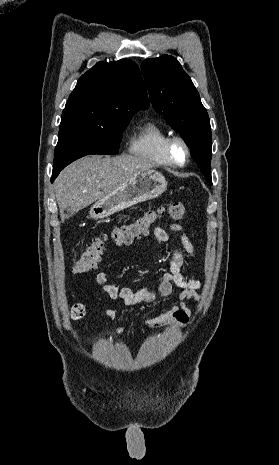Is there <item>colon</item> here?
Segmentation results:
<instances>
[{
    "instance_id": "1",
    "label": "colon",
    "mask_w": 279,
    "mask_h": 465,
    "mask_svg": "<svg viewBox=\"0 0 279 465\" xmlns=\"http://www.w3.org/2000/svg\"><path fill=\"white\" fill-rule=\"evenodd\" d=\"M186 209L183 203L174 202L157 210H149L133 222L121 225L113 230L110 239L117 245H127L136 239L146 235L149 228L163 215H168L174 220H182ZM106 236L97 238L79 256L73 260V271L75 273H87L93 270L99 263L106 248ZM84 314L82 305H75L72 309V317L77 320Z\"/></svg>"
}]
</instances>
